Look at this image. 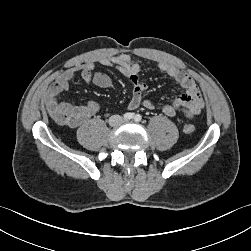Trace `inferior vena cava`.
Segmentation results:
<instances>
[{
	"label": "inferior vena cava",
	"mask_w": 251,
	"mask_h": 251,
	"mask_svg": "<svg viewBox=\"0 0 251 251\" xmlns=\"http://www.w3.org/2000/svg\"><path fill=\"white\" fill-rule=\"evenodd\" d=\"M109 121L110 125L115 126L122 121V118L119 115H113L110 117Z\"/></svg>",
	"instance_id": "obj_1"
}]
</instances>
